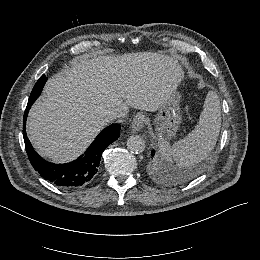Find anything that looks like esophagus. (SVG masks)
Listing matches in <instances>:
<instances>
[{
    "label": "esophagus",
    "instance_id": "obj_1",
    "mask_svg": "<svg viewBox=\"0 0 260 260\" xmlns=\"http://www.w3.org/2000/svg\"><path fill=\"white\" fill-rule=\"evenodd\" d=\"M147 121V117L143 113H138L134 116L132 123H131V131L133 133L139 132L145 125V122Z\"/></svg>",
    "mask_w": 260,
    "mask_h": 260
}]
</instances>
